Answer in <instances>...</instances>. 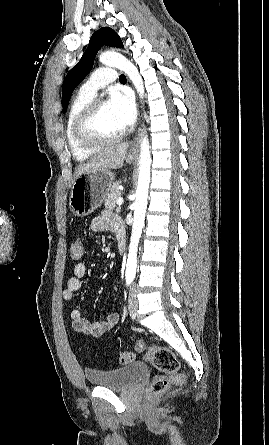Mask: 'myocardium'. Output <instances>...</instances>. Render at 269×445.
<instances>
[{"mask_svg": "<svg viewBox=\"0 0 269 445\" xmlns=\"http://www.w3.org/2000/svg\"><path fill=\"white\" fill-rule=\"evenodd\" d=\"M104 100L92 99L77 115L73 124V136L76 142L86 149H98L104 145L111 144L123 138L127 130L123 129L112 135L97 134L93 124Z\"/></svg>", "mask_w": 269, "mask_h": 445, "instance_id": "myocardium-1", "label": "myocardium"}]
</instances>
